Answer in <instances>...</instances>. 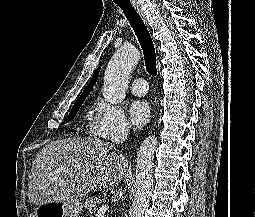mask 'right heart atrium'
I'll return each mask as SVG.
<instances>
[{
    "instance_id": "obj_1",
    "label": "right heart atrium",
    "mask_w": 255,
    "mask_h": 217,
    "mask_svg": "<svg viewBox=\"0 0 255 217\" xmlns=\"http://www.w3.org/2000/svg\"><path fill=\"white\" fill-rule=\"evenodd\" d=\"M88 131L91 135L109 140H116L127 135L129 124L124 110L104 100H98Z\"/></svg>"
}]
</instances>
